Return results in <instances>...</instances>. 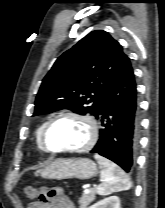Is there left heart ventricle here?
<instances>
[{"label": "left heart ventricle", "instance_id": "b2bd125f", "mask_svg": "<svg viewBox=\"0 0 165 208\" xmlns=\"http://www.w3.org/2000/svg\"><path fill=\"white\" fill-rule=\"evenodd\" d=\"M88 138L89 130L83 121L65 118L50 128L46 142L52 149L76 148L85 144Z\"/></svg>", "mask_w": 165, "mask_h": 208}]
</instances>
